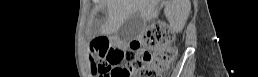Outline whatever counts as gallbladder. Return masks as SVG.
I'll return each instance as SVG.
<instances>
[{
    "instance_id": "obj_1",
    "label": "gallbladder",
    "mask_w": 258,
    "mask_h": 77,
    "mask_svg": "<svg viewBox=\"0 0 258 77\" xmlns=\"http://www.w3.org/2000/svg\"><path fill=\"white\" fill-rule=\"evenodd\" d=\"M144 27V20L139 13H136L124 21L117 34L122 41L129 42L140 35L143 32Z\"/></svg>"
}]
</instances>
